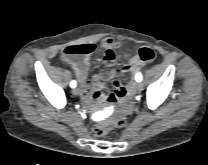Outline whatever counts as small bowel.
I'll return each mask as SVG.
<instances>
[{"label":"small bowel","instance_id":"obj_1","mask_svg":"<svg viewBox=\"0 0 208 165\" xmlns=\"http://www.w3.org/2000/svg\"><path fill=\"white\" fill-rule=\"evenodd\" d=\"M85 45L89 46L91 49L89 54L76 57H64L63 61L74 70L75 75L81 84L79 92H81L85 98L93 97L94 99L101 101L103 95L101 94L100 89L105 81L115 78L116 72L114 70H106L94 75L90 80H87L89 59L91 54L94 53L96 46L93 43H85ZM99 46L105 50L103 55L104 63L108 66H112L116 61L115 49L118 48V43L109 37H105L100 40ZM121 87L122 84L120 81H112L106 100L112 104L117 103L121 96Z\"/></svg>","mask_w":208,"mask_h":165}]
</instances>
